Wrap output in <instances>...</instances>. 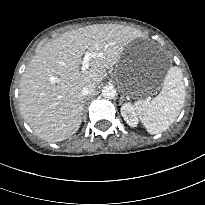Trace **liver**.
<instances>
[{"label": "liver", "mask_w": 205, "mask_h": 205, "mask_svg": "<svg viewBox=\"0 0 205 205\" xmlns=\"http://www.w3.org/2000/svg\"><path fill=\"white\" fill-rule=\"evenodd\" d=\"M134 32L124 26L95 24L65 32L46 43L25 69L19 85L20 110L40 138L60 142L81 125L84 97L81 89L97 86L106 70L120 61ZM96 52L82 72L84 53Z\"/></svg>", "instance_id": "6515ba94"}]
</instances>
